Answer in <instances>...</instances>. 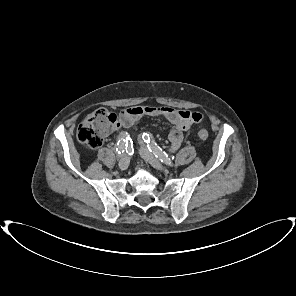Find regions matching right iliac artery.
<instances>
[{
	"label": "right iliac artery",
	"mask_w": 296,
	"mask_h": 296,
	"mask_svg": "<svg viewBox=\"0 0 296 296\" xmlns=\"http://www.w3.org/2000/svg\"><path fill=\"white\" fill-rule=\"evenodd\" d=\"M121 138L118 140L117 142V148L116 151L118 154H122L124 153V149L126 147V143H125V134H121Z\"/></svg>",
	"instance_id": "right-iliac-artery-1"
}]
</instances>
